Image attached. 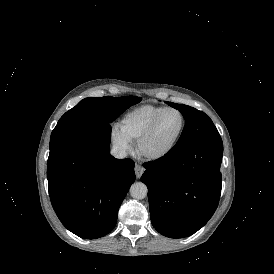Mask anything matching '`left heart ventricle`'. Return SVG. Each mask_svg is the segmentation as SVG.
Masks as SVG:
<instances>
[{
    "label": "left heart ventricle",
    "mask_w": 274,
    "mask_h": 274,
    "mask_svg": "<svg viewBox=\"0 0 274 274\" xmlns=\"http://www.w3.org/2000/svg\"><path fill=\"white\" fill-rule=\"evenodd\" d=\"M182 126V117L176 111L167 112L159 121L152 134L145 140L143 149L146 153L157 155L165 151Z\"/></svg>",
    "instance_id": "b2bd125f"
}]
</instances>
